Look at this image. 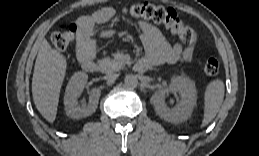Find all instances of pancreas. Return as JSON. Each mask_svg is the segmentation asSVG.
<instances>
[{"mask_svg": "<svg viewBox=\"0 0 259 156\" xmlns=\"http://www.w3.org/2000/svg\"><path fill=\"white\" fill-rule=\"evenodd\" d=\"M100 66V71L103 73H111L114 71H119L123 68L125 62L123 60H116L110 58H104L98 61Z\"/></svg>", "mask_w": 259, "mask_h": 156, "instance_id": "cf45deb5", "label": "pancreas"}]
</instances>
